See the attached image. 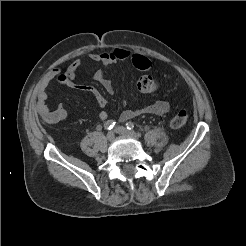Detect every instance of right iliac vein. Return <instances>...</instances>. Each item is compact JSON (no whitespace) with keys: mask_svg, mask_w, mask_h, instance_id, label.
<instances>
[{"mask_svg":"<svg viewBox=\"0 0 246 246\" xmlns=\"http://www.w3.org/2000/svg\"><path fill=\"white\" fill-rule=\"evenodd\" d=\"M107 139L108 141L112 142L115 139V134L113 131H110L107 133Z\"/></svg>","mask_w":246,"mask_h":246,"instance_id":"1","label":"right iliac vein"}]
</instances>
